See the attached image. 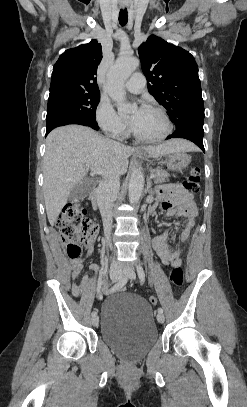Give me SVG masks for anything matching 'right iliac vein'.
<instances>
[{"instance_id":"obj_1","label":"right iliac vein","mask_w":247,"mask_h":407,"mask_svg":"<svg viewBox=\"0 0 247 407\" xmlns=\"http://www.w3.org/2000/svg\"><path fill=\"white\" fill-rule=\"evenodd\" d=\"M122 272L121 268L118 265H112L110 269V278L113 282H118L121 279ZM93 326H98L99 318L97 316L92 319Z\"/></svg>"}]
</instances>
